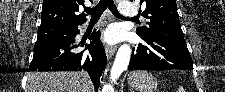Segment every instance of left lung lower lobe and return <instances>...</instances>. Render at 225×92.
<instances>
[{"mask_svg": "<svg viewBox=\"0 0 225 92\" xmlns=\"http://www.w3.org/2000/svg\"><path fill=\"white\" fill-rule=\"evenodd\" d=\"M145 43L133 47L129 70H192L186 43L171 39L142 38Z\"/></svg>", "mask_w": 225, "mask_h": 92, "instance_id": "0a47b994", "label": "left lung lower lobe"}]
</instances>
